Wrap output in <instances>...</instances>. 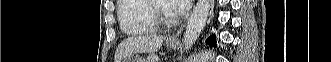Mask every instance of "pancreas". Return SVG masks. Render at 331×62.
Instances as JSON below:
<instances>
[{"label": "pancreas", "mask_w": 331, "mask_h": 62, "mask_svg": "<svg viewBox=\"0 0 331 62\" xmlns=\"http://www.w3.org/2000/svg\"><path fill=\"white\" fill-rule=\"evenodd\" d=\"M147 62H158V57L157 56H149L147 58Z\"/></svg>", "instance_id": "cf45deb5"}]
</instances>
